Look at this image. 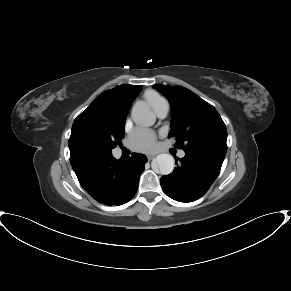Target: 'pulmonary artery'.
<instances>
[{"label":"pulmonary artery","mask_w":291,"mask_h":291,"mask_svg":"<svg viewBox=\"0 0 291 291\" xmlns=\"http://www.w3.org/2000/svg\"><path fill=\"white\" fill-rule=\"evenodd\" d=\"M168 110H169V107H168L167 102H166V101H163V102L159 105V107L156 109L155 112H156V114H157V116H158L159 118H165V117L167 116V114H168ZM179 156H180V157L184 156V152L181 151V152L179 153Z\"/></svg>","instance_id":"obj_1"}]
</instances>
